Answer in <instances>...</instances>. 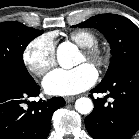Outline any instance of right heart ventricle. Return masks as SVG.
<instances>
[{
	"mask_svg": "<svg viewBox=\"0 0 139 139\" xmlns=\"http://www.w3.org/2000/svg\"><path fill=\"white\" fill-rule=\"evenodd\" d=\"M70 39L81 48L97 45L98 39L88 30H77L70 34Z\"/></svg>",
	"mask_w": 139,
	"mask_h": 139,
	"instance_id": "right-heart-ventricle-1",
	"label": "right heart ventricle"
}]
</instances>
